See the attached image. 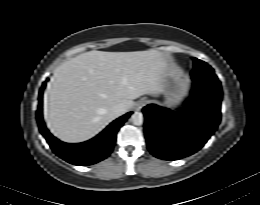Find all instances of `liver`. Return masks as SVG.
I'll return each instance as SVG.
<instances>
[{
    "label": "liver",
    "mask_w": 260,
    "mask_h": 205,
    "mask_svg": "<svg viewBox=\"0 0 260 205\" xmlns=\"http://www.w3.org/2000/svg\"><path fill=\"white\" fill-rule=\"evenodd\" d=\"M168 58L155 49L134 52L89 51L61 64L44 98L52 133L65 142L89 140L113 121L115 105L127 110L134 99L162 92Z\"/></svg>",
    "instance_id": "liver-1"
}]
</instances>
